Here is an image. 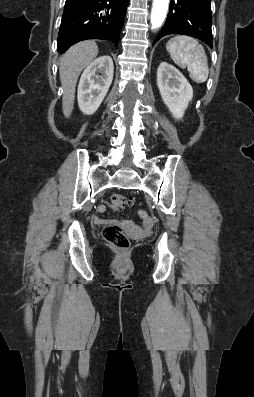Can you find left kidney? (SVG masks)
Wrapping results in <instances>:
<instances>
[{"mask_svg":"<svg viewBox=\"0 0 254 397\" xmlns=\"http://www.w3.org/2000/svg\"><path fill=\"white\" fill-rule=\"evenodd\" d=\"M157 85L161 97L174 118L181 119L193 98V89L173 65L162 62L157 69Z\"/></svg>","mask_w":254,"mask_h":397,"instance_id":"obj_1","label":"left kidney"}]
</instances>
